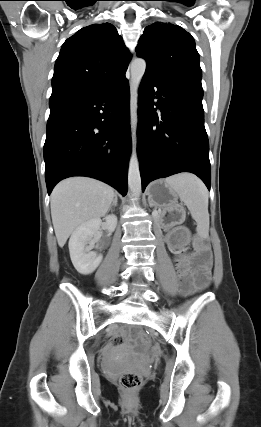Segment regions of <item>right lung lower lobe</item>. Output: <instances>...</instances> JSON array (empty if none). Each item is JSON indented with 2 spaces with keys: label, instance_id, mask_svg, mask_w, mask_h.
I'll list each match as a JSON object with an SVG mask.
<instances>
[{
  "label": "right lung lower lobe",
  "instance_id": "1",
  "mask_svg": "<svg viewBox=\"0 0 261 427\" xmlns=\"http://www.w3.org/2000/svg\"><path fill=\"white\" fill-rule=\"evenodd\" d=\"M130 149L126 77L95 94L50 108L44 144L48 194L64 178L88 176L125 196Z\"/></svg>",
  "mask_w": 261,
  "mask_h": 427
}]
</instances>
